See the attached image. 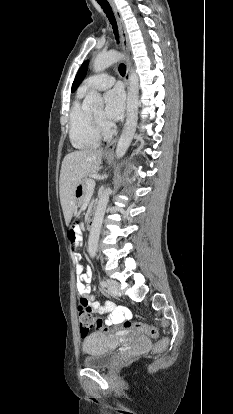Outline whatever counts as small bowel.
<instances>
[{
	"label": "small bowel",
	"mask_w": 233,
	"mask_h": 414,
	"mask_svg": "<svg viewBox=\"0 0 233 414\" xmlns=\"http://www.w3.org/2000/svg\"><path fill=\"white\" fill-rule=\"evenodd\" d=\"M78 235L82 236L83 232L79 231ZM72 257L74 260L73 266L76 268L77 274V293L80 296L85 297L89 301L92 311L100 315L104 313H109L107 319L105 320L106 325L120 324L130 319L131 312L127 308L122 306H116L113 302L110 301H107L102 304L94 299V297L90 294L91 289L89 287V283L91 281V271L89 269L86 271L84 270V267L80 262L82 256L78 251L72 252Z\"/></svg>",
	"instance_id": "1"
}]
</instances>
